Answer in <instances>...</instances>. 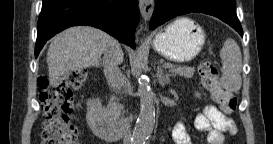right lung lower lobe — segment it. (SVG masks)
<instances>
[{
  "label": "right lung lower lobe",
  "mask_w": 273,
  "mask_h": 144,
  "mask_svg": "<svg viewBox=\"0 0 273 144\" xmlns=\"http://www.w3.org/2000/svg\"><path fill=\"white\" fill-rule=\"evenodd\" d=\"M138 19L137 0H43L37 23L35 57L47 40L77 25L99 28L135 48Z\"/></svg>",
  "instance_id": "98d812e1"
}]
</instances>
